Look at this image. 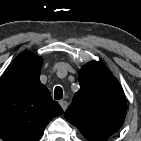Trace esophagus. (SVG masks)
Instances as JSON below:
<instances>
[{
    "instance_id": "1",
    "label": "esophagus",
    "mask_w": 141,
    "mask_h": 141,
    "mask_svg": "<svg viewBox=\"0 0 141 141\" xmlns=\"http://www.w3.org/2000/svg\"><path fill=\"white\" fill-rule=\"evenodd\" d=\"M59 104L61 105L63 111H65L68 107V103L65 100L59 101Z\"/></svg>"
}]
</instances>
